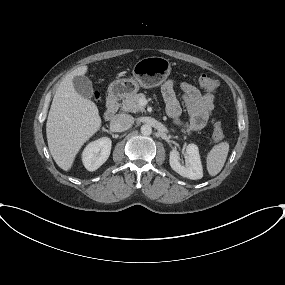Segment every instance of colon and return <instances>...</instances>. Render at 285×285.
<instances>
[{
  "label": "colon",
  "instance_id": "1",
  "mask_svg": "<svg viewBox=\"0 0 285 285\" xmlns=\"http://www.w3.org/2000/svg\"><path fill=\"white\" fill-rule=\"evenodd\" d=\"M198 83L207 91H215L218 88V82L205 74L198 77ZM94 96L96 100H99L100 95L97 92L94 94ZM212 138L215 143H219L224 140V132L220 124L215 125Z\"/></svg>",
  "mask_w": 285,
  "mask_h": 285
}]
</instances>
